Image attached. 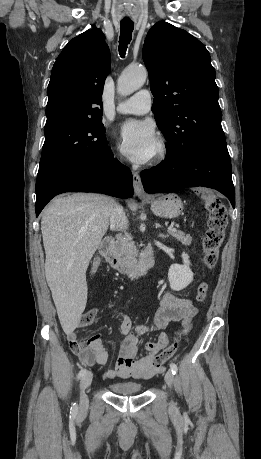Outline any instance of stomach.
<instances>
[{
    "mask_svg": "<svg viewBox=\"0 0 261 459\" xmlns=\"http://www.w3.org/2000/svg\"><path fill=\"white\" fill-rule=\"evenodd\" d=\"M146 201L151 205L153 213L162 218H176L183 211V203L175 194L153 197Z\"/></svg>",
    "mask_w": 261,
    "mask_h": 459,
    "instance_id": "0dacf381",
    "label": "stomach"
}]
</instances>
